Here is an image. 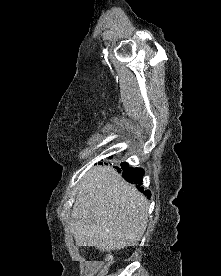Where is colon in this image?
Instances as JSON below:
<instances>
[{
    "label": "colon",
    "instance_id": "1",
    "mask_svg": "<svg viewBox=\"0 0 221 276\" xmlns=\"http://www.w3.org/2000/svg\"><path fill=\"white\" fill-rule=\"evenodd\" d=\"M107 260H108V261H112V260H113L112 255L108 254V255H107Z\"/></svg>",
    "mask_w": 221,
    "mask_h": 276
}]
</instances>
